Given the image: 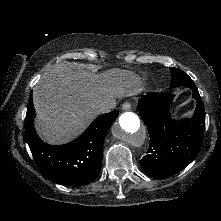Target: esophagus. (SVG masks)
Listing matches in <instances>:
<instances>
[{"label": "esophagus", "instance_id": "1", "mask_svg": "<svg viewBox=\"0 0 221 221\" xmlns=\"http://www.w3.org/2000/svg\"><path fill=\"white\" fill-rule=\"evenodd\" d=\"M132 109V104L130 102H125L122 105L123 111H130Z\"/></svg>", "mask_w": 221, "mask_h": 221}]
</instances>
